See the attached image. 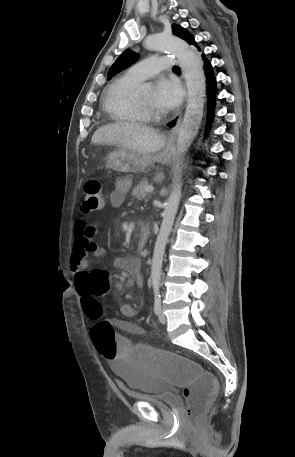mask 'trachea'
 Listing matches in <instances>:
<instances>
[{
  "label": "trachea",
  "mask_w": 295,
  "mask_h": 457,
  "mask_svg": "<svg viewBox=\"0 0 295 457\" xmlns=\"http://www.w3.org/2000/svg\"><path fill=\"white\" fill-rule=\"evenodd\" d=\"M173 70H179V67L178 66H174Z\"/></svg>",
  "instance_id": "trachea-1"
}]
</instances>
